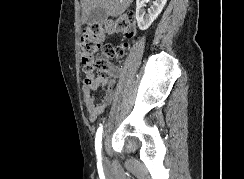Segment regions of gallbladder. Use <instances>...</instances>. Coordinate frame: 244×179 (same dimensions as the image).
Segmentation results:
<instances>
[{
	"label": "gallbladder",
	"mask_w": 244,
	"mask_h": 179,
	"mask_svg": "<svg viewBox=\"0 0 244 179\" xmlns=\"http://www.w3.org/2000/svg\"><path fill=\"white\" fill-rule=\"evenodd\" d=\"M107 18L108 14L105 12L104 8H94V10H91L87 18V24H89V26H93V24H101V22H105Z\"/></svg>",
	"instance_id": "1"
}]
</instances>
